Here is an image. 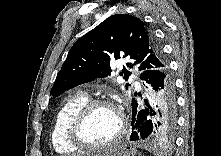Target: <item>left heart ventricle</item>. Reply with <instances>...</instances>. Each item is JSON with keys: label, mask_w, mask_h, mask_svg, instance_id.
<instances>
[{"label": "left heart ventricle", "mask_w": 221, "mask_h": 156, "mask_svg": "<svg viewBox=\"0 0 221 156\" xmlns=\"http://www.w3.org/2000/svg\"><path fill=\"white\" fill-rule=\"evenodd\" d=\"M118 127L116 112L108 107H100L93 110L85 120L81 137L88 143H104L114 136Z\"/></svg>", "instance_id": "obj_1"}]
</instances>
